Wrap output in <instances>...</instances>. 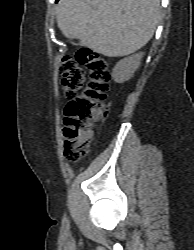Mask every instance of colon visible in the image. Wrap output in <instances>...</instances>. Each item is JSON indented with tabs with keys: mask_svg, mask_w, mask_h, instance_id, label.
<instances>
[{
	"mask_svg": "<svg viewBox=\"0 0 194 250\" xmlns=\"http://www.w3.org/2000/svg\"><path fill=\"white\" fill-rule=\"evenodd\" d=\"M59 72L66 98L63 151L69 161L76 162L87 154L93 125L102 117L110 80L108 62L99 53L81 47L62 58Z\"/></svg>",
	"mask_w": 194,
	"mask_h": 250,
	"instance_id": "colon-1",
	"label": "colon"
}]
</instances>
